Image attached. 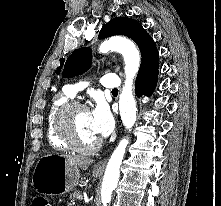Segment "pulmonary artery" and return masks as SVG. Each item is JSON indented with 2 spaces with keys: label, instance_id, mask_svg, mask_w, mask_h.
Wrapping results in <instances>:
<instances>
[{
  "label": "pulmonary artery",
  "instance_id": "pulmonary-artery-1",
  "mask_svg": "<svg viewBox=\"0 0 221 206\" xmlns=\"http://www.w3.org/2000/svg\"><path fill=\"white\" fill-rule=\"evenodd\" d=\"M98 83L106 88L118 89L120 86V78L116 74H105L98 79ZM82 85H71L66 87V93L74 97L81 89Z\"/></svg>",
  "mask_w": 221,
  "mask_h": 206
}]
</instances>
